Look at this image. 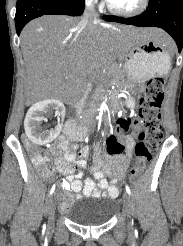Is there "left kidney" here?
I'll return each instance as SVG.
<instances>
[{"label": "left kidney", "instance_id": "5707ae66", "mask_svg": "<svg viewBox=\"0 0 183 246\" xmlns=\"http://www.w3.org/2000/svg\"><path fill=\"white\" fill-rule=\"evenodd\" d=\"M127 108H134L135 107V101L132 98H129V100L126 101Z\"/></svg>", "mask_w": 183, "mask_h": 246}]
</instances>
